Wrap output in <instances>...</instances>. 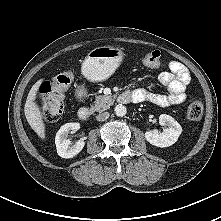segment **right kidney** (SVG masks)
Wrapping results in <instances>:
<instances>
[{
  "instance_id": "right-kidney-1",
  "label": "right kidney",
  "mask_w": 221,
  "mask_h": 221,
  "mask_svg": "<svg viewBox=\"0 0 221 221\" xmlns=\"http://www.w3.org/2000/svg\"><path fill=\"white\" fill-rule=\"evenodd\" d=\"M80 128L79 123H66L61 126L55 137V144L57 153L62 158H73L79 154L84 148L85 142L83 140L77 141L71 146V141L68 139L69 131H77Z\"/></svg>"
}]
</instances>
